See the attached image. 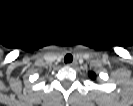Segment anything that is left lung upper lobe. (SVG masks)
<instances>
[{
    "label": "left lung upper lobe",
    "mask_w": 133,
    "mask_h": 106,
    "mask_svg": "<svg viewBox=\"0 0 133 106\" xmlns=\"http://www.w3.org/2000/svg\"><path fill=\"white\" fill-rule=\"evenodd\" d=\"M89 77L94 80L96 78V75L94 72H89Z\"/></svg>",
    "instance_id": "obj_1"
}]
</instances>
